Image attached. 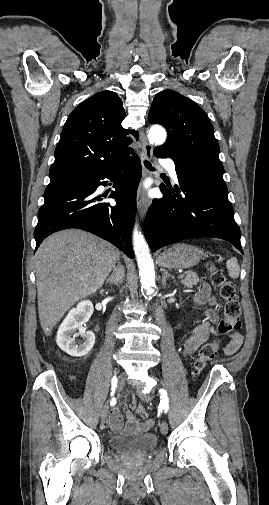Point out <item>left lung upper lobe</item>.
Segmentation results:
<instances>
[{
	"instance_id": "1",
	"label": "left lung upper lobe",
	"mask_w": 269,
	"mask_h": 505,
	"mask_svg": "<svg viewBox=\"0 0 269 505\" xmlns=\"http://www.w3.org/2000/svg\"><path fill=\"white\" fill-rule=\"evenodd\" d=\"M148 121L162 124L168 134L165 144L154 149L155 155L224 172L211 121L194 101L172 90L161 91L153 99Z\"/></svg>"
}]
</instances>
